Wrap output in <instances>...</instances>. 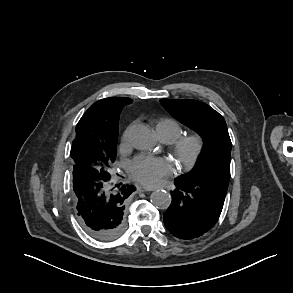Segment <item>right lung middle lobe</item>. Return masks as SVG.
Listing matches in <instances>:
<instances>
[{
  "mask_svg": "<svg viewBox=\"0 0 293 293\" xmlns=\"http://www.w3.org/2000/svg\"><path fill=\"white\" fill-rule=\"evenodd\" d=\"M89 146V141L81 137L77 139L76 138L73 141L72 149L77 148L79 150L87 149ZM92 151V160L97 165L96 167H93L97 169L102 175H110V169L112 168V165L116 159V141H113L112 143L105 144V145H95L90 147ZM71 149V150H72ZM73 155V154H72ZM71 157H74L71 156Z\"/></svg>",
  "mask_w": 293,
  "mask_h": 293,
  "instance_id": "obj_1",
  "label": "right lung middle lobe"
}]
</instances>
